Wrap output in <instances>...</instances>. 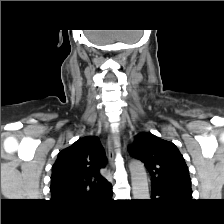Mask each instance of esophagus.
Returning a JSON list of instances; mask_svg holds the SVG:
<instances>
[{
  "instance_id": "esophagus-1",
  "label": "esophagus",
  "mask_w": 224,
  "mask_h": 224,
  "mask_svg": "<svg viewBox=\"0 0 224 224\" xmlns=\"http://www.w3.org/2000/svg\"><path fill=\"white\" fill-rule=\"evenodd\" d=\"M116 136L117 135L111 131L108 138L110 162L113 167H114V161H115L116 152H117V146H116L117 137Z\"/></svg>"
}]
</instances>
